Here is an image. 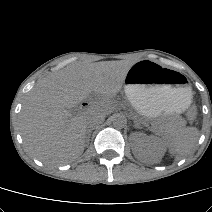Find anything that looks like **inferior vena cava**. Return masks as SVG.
<instances>
[{
	"instance_id": "1",
	"label": "inferior vena cava",
	"mask_w": 212,
	"mask_h": 212,
	"mask_svg": "<svg viewBox=\"0 0 212 212\" xmlns=\"http://www.w3.org/2000/svg\"><path fill=\"white\" fill-rule=\"evenodd\" d=\"M104 122V115L99 113H91L86 117V126L88 128H95Z\"/></svg>"
}]
</instances>
